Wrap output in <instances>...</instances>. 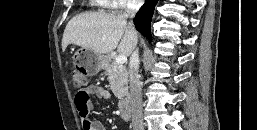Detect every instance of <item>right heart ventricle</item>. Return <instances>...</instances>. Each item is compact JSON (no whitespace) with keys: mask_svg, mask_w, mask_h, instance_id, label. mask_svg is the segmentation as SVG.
Returning <instances> with one entry per match:
<instances>
[{"mask_svg":"<svg viewBox=\"0 0 257 130\" xmlns=\"http://www.w3.org/2000/svg\"><path fill=\"white\" fill-rule=\"evenodd\" d=\"M94 5L105 7V0H90Z\"/></svg>","mask_w":257,"mask_h":130,"instance_id":"e07e8e85","label":"right heart ventricle"}]
</instances>
